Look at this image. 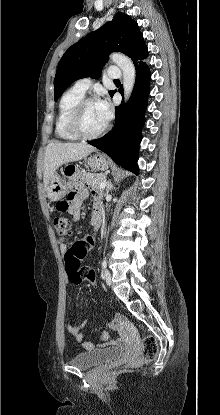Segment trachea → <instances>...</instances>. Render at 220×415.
Listing matches in <instances>:
<instances>
[{
	"instance_id": "1",
	"label": "trachea",
	"mask_w": 220,
	"mask_h": 415,
	"mask_svg": "<svg viewBox=\"0 0 220 415\" xmlns=\"http://www.w3.org/2000/svg\"><path fill=\"white\" fill-rule=\"evenodd\" d=\"M114 82H119V80L118 79H115Z\"/></svg>"
}]
</instances>
